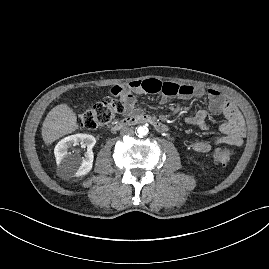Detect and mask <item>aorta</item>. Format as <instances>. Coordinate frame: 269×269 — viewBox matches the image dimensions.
<instances>
[{
    "label": "aorta",
    "mask_w": 269,
    "mask_h": 269,
    "mask_svg": "<svg viewBox=\"0 0 269 269\" xmlns=\"http://www.w3.org/2000/svg\"><path fill=\"white\" fill-rule=\"evenodd\" d=\"M148 134V128L146 126H139L137 128L138 137H144Z\"/></svg>",
    "instance_id": "762f6f07"
}]
</instances>
